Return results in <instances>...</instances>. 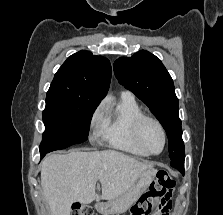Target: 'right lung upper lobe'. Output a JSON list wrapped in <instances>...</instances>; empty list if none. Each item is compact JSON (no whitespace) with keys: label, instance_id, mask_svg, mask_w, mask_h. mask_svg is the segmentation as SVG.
Listing matches in <instances>:
<instances>
[{"label":"right lung upper lobe","instance_id":"obj_1","mask_svg":"<svg viewBox=\"0 0 223 215\" xmlns=\"http://www.w3.org/2000/svg\"><path fill=\"white\" fill-rule=\"evenodd\" d=\"M111 79L107 58L79 51L63 63L47 92L46 102L98 105L106 96Z\"/></svg>","mask_w":223,"mask_h":215}]
</instances>
